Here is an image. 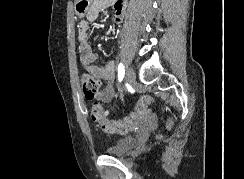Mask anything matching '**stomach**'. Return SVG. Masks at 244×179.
Returning a JSON list of instances; mask_svg holds the SVG:
<instances>
[{"instance_id": "stomach-1", "label": "stomach", "mask_w": 244, "mask_h": 179, "mask_svg": "<svg viewBox=\"0 0 244 179\" xmlns=\"http://www.w3.org/2000/svg\"><path fill=\"white\" fill-rule=\"evenodd\" d=\"M90 4V0H77L76 7L80 10H76L77 18H84V14ZM84 6V8H82Z\"/></svg>"}]
</instances>
